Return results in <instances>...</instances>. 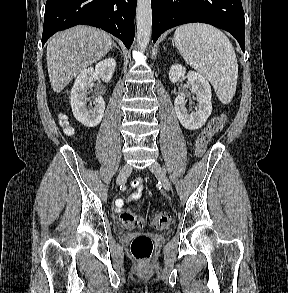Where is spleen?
Masks as SVG:
<instances>
[{"label":"spleen","instance_id":"obj_1","mask_svg":"<svg viewBox=\"0 0 288 293\" xmlns=\"http://www.w3.org/2000/svg\"><path fill=\"white\" fill-rule=\"evenodd\" d=\"M174 42L186 63L213 85L219 100L229 103L236 91L238 63L228 37L211 25L191 23L176 29Z\"/></svg>","mask_w":288,"mask_h":293}]
</instances>
